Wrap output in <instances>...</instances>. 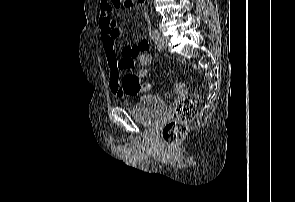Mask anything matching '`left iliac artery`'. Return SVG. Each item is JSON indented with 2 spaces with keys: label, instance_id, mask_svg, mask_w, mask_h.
<instances>
[{
  "label": "left iliac artery",
  "instance_id": "left-iliac-artery-1",
  "mask_svg": "<svg viewBox=\"0 0 295 202\" xmlns=\"http://www.w3.org/2000/svg\"><path fill=\"white\" fill-rule=\"evenodd\" d=\"M150 31L152 32V37L155 40H159L160 39V34H159V32L156 29H150Z\"/></svg>",
  "mask_w": 295,
  "mask_h": 202
}]
</instances>
